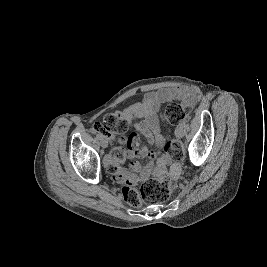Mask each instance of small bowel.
Masks as SVG:
<instances>
[{
	"instance_id": "1",
	"label": "small bowel",
	"mask_w": 267,
	"mask_h": 267,
	"mask_svg": "<svg viewBox=\"0 0 267 267\" xmlns=\"http://www.w3.org/2000/svg\"><path fill=\"white\" fill-rule=\"evenodd\" d=\"M197 98L198 90L192 86L160 89L148 93L142 102L131 105L125 111L137 134L143 136L151 148L141 145L138 135H133L130 168H124L117 161L111 164L112 175L117 182L135 184L145 180L151 173L161 175L167 166H171L172 175L178 174L179 165L173 163L172 158L163 151L164 137L159 125L158 111L162 104L174 100L192 106ZM137 117L143 120L137 122ZM144 158L150 161L146 166L140 163Z\"/></svg>"
}]
</instances>
